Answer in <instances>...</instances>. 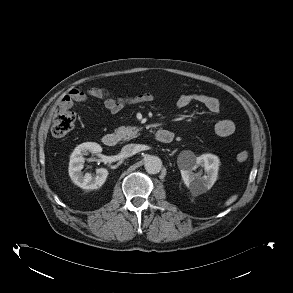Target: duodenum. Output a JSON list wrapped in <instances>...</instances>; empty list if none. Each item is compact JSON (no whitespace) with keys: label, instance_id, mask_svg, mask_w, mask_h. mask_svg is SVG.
Masks as SVG:
<instances>
[{"label":"duodenum","instance_id":"410a0bca","mask_svg":"<svg viewBox=\"0 0 293 293\" xmlns=\"http://www.w3.org/2000/svg\"><path fill=\"white\" fill-rule=\"evenodd\" d=\"M155 138L161 143H169L172 141L173 135L170 131L161 129L156 132ZM119 141V136L116 133H107L102 138L103 144L107 147H115Z\"/></svg>","mask_w":293,"mask_h":293}]
</instances>
